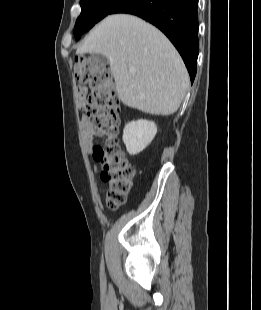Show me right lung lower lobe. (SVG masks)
Listing matches in <instances>:
<instances>
[{"instance_id":"right-lung-lower-lobe-1","label":"right lung lower lobe","mask_w":261,"mask_h":310,"mask_svg":"<svg viewBox=\"0 0 261 310\" xmlns=\"http://www.w3.org/2000/svg\"><path fill=\"white\" fill-rule=\"evenodd\" d=\"M197 6L198 0H124L110 14H133L158 27L179 51L193 83L199 53Z\"/></svg>"}]
</instances>
